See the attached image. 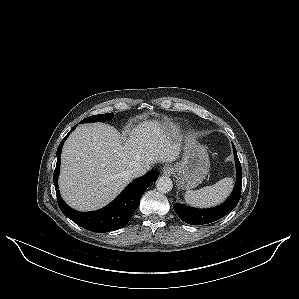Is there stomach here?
Segmentation results:
<instances>
[{"instance_id": "1", "label": "stomach", "mask_w": 299, "mask_h": 299, "mask_svg": "<svg viewBox=\"0 0 299 299\" xmlns=\"http://www.w3.org/2000/svg\"><path fill=\"white\" fill-rule=\"evenodd\" d=\"M210 170V160L206 147L194 137H187L182 160L174 165V174L183 189L198 186Z\"/></svg>"}]
</instances>
